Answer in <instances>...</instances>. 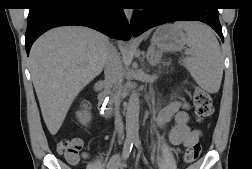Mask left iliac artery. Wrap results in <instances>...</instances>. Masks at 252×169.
<instances>
[{
    "label": "left iliac artery",
    "instance_id": "1",
    "mask_svg": "<svg viewBox=\"0 0 252 169\" xmlns=\"http://www.w3.org/2000/svg\"><path fill=\"white\" fill-rule=\"evenodd\" d=\"M134 143H135L137 148H141V142H140V140L138 138L134 140Z\"/></svg>",
    "mask_w": 252,
    "mask_h": 169
}]
</instances>
